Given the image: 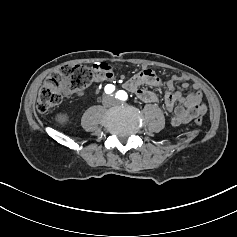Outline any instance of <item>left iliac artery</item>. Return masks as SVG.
<instances>
[{
  "mask_svg": "<svg viewBox=\"0 0 237 237\" xmlns=\"http://www.w3.org/2000/svg\"><path fill=\"white\" fill-rule=\"evenodd\" d=\"M115 98L125 101V100H127L128 95H127V93L125 91L119 90L116 93Z\"/></svg>",
  "mask_w": 237,
  "mask_h": 237,
  "instance_id": "left-iliac-artery-1",
  "label": "left iliac artery"
}]
</instances>
